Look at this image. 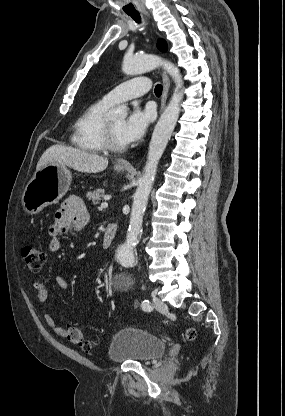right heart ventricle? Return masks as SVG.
<instances>
[{"mask_svg": "<svg viewBox=\"0 0 285 416\" xmlns=\"http://www.w3.org/2000/svg\"><path fill=\"white\" fill-rule=\"evenodd\" d=\"M108 103L103 99L90 103L75 121L71 134L72 145L86 154H100L105 148L101 127Z\"/></svg>", "mask_w": 285, "mask_h": 416, "instance_id": "1", "label": "right heart ventricle"}]
</instances>
